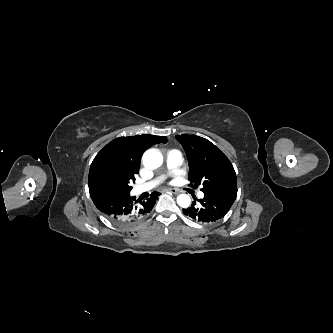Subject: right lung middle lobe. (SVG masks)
<instances>
[{"instance_id":"dd1d6c3e","label":"right lung middle lobe","mask_w":333,"mask_h":333,"mask_svg":"<svg viewBox=\"0 0 333 333\" xmlns=\"http://www.w3.org/2000/svg\"><path fill=\"white\" fill-rule=\"evenodd\" d=\"M138 171L112 159H105L90 167L89 183L94 187L129 193Z\"/></svg>"}]
</instances>
